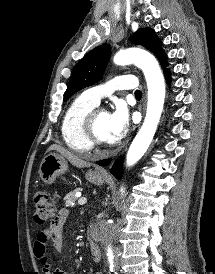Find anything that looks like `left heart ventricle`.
<instances>
[{
  "instance_id": "obj_1",
  "label": "left heart ventricle",
  "mask_w": 215,
  "mask_h": 274,
  "mask_svg": "<svg viewBox=\"0 0 215 274\" xmlns=\"http://www.w3.org/2000/svg\"><path fill=\"white\" fill-rule=\"evenodd\" d=\"M108 117H109V114L107 112L100 111L96 117V123H95V129H96L97 135L105 141H108V131H107Z\"/></svg>"
}]
</instances>
